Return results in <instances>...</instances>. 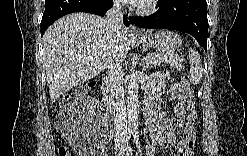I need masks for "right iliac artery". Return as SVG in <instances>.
<instances>
[{
    "label": "right iliac artery",
    "instance_id": "right-iliac-artery-1",
    "mask_svg": "<svg viewBox=\"0 0 247 156\" xmlns=\"http://www.w3.org/2000/svg\"><path fill=\"white\" fill-rule=\"evenodd\" d=\"M127 139L129 140L130 139V136ZM125 150H126V146H123L122 149L120 150V152L118 153V156H123Z\"/></svg>",
    "mask_w": 247,
    "mask_h": 156
}]
</instances>
